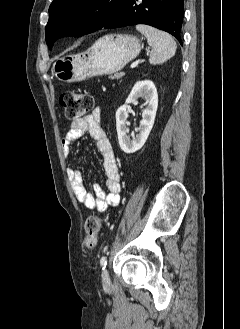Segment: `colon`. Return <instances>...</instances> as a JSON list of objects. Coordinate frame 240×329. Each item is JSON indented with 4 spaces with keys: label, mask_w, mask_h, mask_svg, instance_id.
Masks as SVG:
<instances>
[{
    "label": "colon",
    "mask_w": 240,
    "mask_h": 329,
    "mask_svg": "<svg viewBox=\"0 0 240 329\" xmlns=\"http://www.w3.org/2000/svg\"><path fill=\"white\" fill-rule=\"evenodd\" d=\"M60 104L65 109L68 119L76 120L94 106L92 95L77 91H66L60 97ZM101 219L97 216H90L85 223V246L94 248L97 244L100 231Z\"/></svg>",
    "instance_id": "5ec220e1"
}]
</instances>
